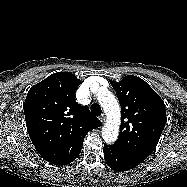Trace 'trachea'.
Returning <instances> with one entry per match:
<instances>
[{
	"instance_id": "trachea-1",
	"label": "trachea",
	"mask_w": 187,
	"mask_h": 187,
	"mask_svg": "<svg viewBox=\"0 0 187 187\" xmlns=\"http://www.w3.org/2000/svg\"><path fill=\"white\" fill-rule=\"evenodd\" d=\"M91 113L95 116H100L102 113L100 105H98L97 103L92 104Z\"/></svg>"
}]
</instances>
